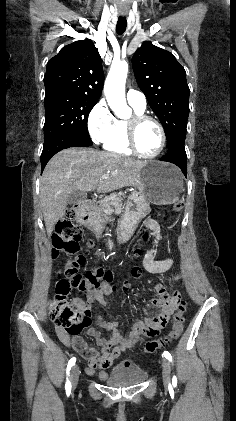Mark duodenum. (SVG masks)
I'll return each instance as SVG.
<instances>
[{
  "label": "duodenum",
  "instance_id": "1",
  "mask_svg": "<svg viewBox=\"0 0 236 421\" xmlns=\"http://www.w3.org/2000/svg\"><path fill=\"white\" fill-rule=\"evenodd\" d=\"M95 210V202L91 199H84L83 201L79 202L76 205V216L79 223L85 225V226H94V214ZM160 304H162L163 309L160 315L157 316V319H161L162 317H165L169 314L170 308L172 306V299L167 297L166 295H160L159 299ZM157 320L154 319L150 321L148 324H142L140 326H137L134 328L132 332L131 338H124L122 337L117 329L115 328V325L110 324L108 325L109 330L112 332V336L107 340L108 346H112L115 344H119V349L123 350L126 346H129L133 341L135 340L136 336L138 334H147L149 332H154L152 329L156 328V322Z\"/></svg>",
  "mask_w": 236,
  "mask_h": 421
}]
</instances>
